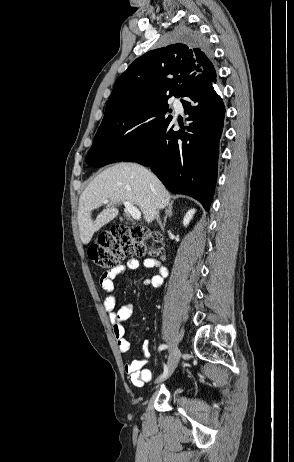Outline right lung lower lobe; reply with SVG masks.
Segmentation results:
<instances>
[{"instance_id":"98d812e1","label":"right lung lower lobe","mask_w":294,"mask_h":462,"mask_svg":"<svg viewBox=\"0 0 294 462\" xmlns=\"http://www.w3.org/2000/svg\"><path fill=\"white\" fill-rule=\"evenodd\" d=\"M189 121L173 131L172 119L154 135L129 153L122 161L149 166L172 192L199 200L209 210L217 178L219 140L223 129L225 108L217 94L216 76L181 95ZM101 167V158L87 162Z\"/></svg>"}]
</instances>
